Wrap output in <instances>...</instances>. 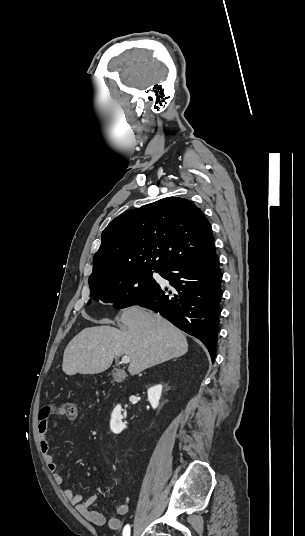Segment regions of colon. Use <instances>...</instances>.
<instances>
[{
    "label": "colon",
    "instance_id": "5ec220e1",
    "mask_svg": "<svg viewBox=\"0 0 305 536\" xmlns=\"http://www.w3.org/2000/svg\"><path fill=\"white\" fill-rule=\"evenodd\" d=\"M56 407H61L62 408V413L57 414L58 416L59 415H66L69 420H75L76 419L77 411H76V407H75V405L73 403H69V402L59 403V404L54 406V408H56ZM41 415H45V411L40 412L39 419H40Z\"/></svg>",
    "mask_w": 305,
    "mask_h": 536
}]
</instances>
